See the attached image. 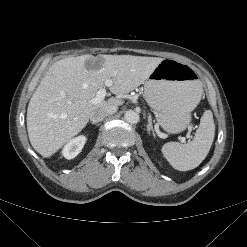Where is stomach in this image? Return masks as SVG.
Wrapping results in <instances>:
<instances>
[{"instance_id":"1","label":"stomach","mask_w":247,"mask_h":247,"mask_svg":"<svg viewBox=\"0 0 247 247\" xmlns=\"http://www.w3.org/2000/svg\"><path fill=\"white\" fill-rule=\"evenodd\" d=\"M202 92L194 68L174 59H163L144 83L147 103L163 130L171 134L188 127Z\"/></svg>"}]
</instances>
